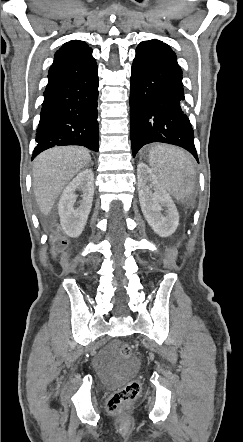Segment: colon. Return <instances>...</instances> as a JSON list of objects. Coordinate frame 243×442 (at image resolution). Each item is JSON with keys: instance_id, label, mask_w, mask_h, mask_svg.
<instances>
[{"instance_id": "5ec220e1", "label": "colon", "mask_w": 243, "mask_h": 442, "mask_svg": "<svg viewBox=\"0 0 243 442\" xmlns=\"http://www.w3.org/2000/svg\"><path fill=\"white\" fill-rule=\"evenodd\" d=\"M64 237L57 233L53 239V251H59L65 245ZM133 354V348L128 343L121 344L119 348V355L123 359L131 357ZM141 389L140 382L138 380H131L126 385L118 388L109 397L107 402V410L110 413L116 414L121 412L129 403H131L139 394Z\"/></svg>"}]
</instances>
